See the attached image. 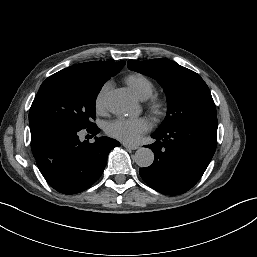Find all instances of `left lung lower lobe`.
Wrapping results in <instances>:
<instances>
[{"instance_id":"1","label":"left lung lower lobe","mask_w":257,"mask_h":257,"mask_svg":"<svg viewBox=\"0 0 257 257\" xmlns=\"http://www.w3.org/2000/svg\"><path fill=\"white\" fill-rule=\"evenodd\" d=\"M216 115L182 122L151 135L157 141L146 147L154 152L153 164L140 168L142 179L156 191L178 195L192 188L205 172L215 149Z\"/></svg>"}]
</instances>
